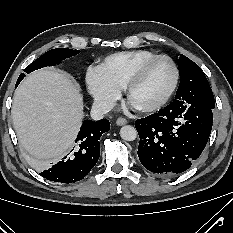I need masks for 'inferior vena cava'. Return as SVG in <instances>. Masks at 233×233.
<instances>
[{
    "mask_svg": "<svg viewBox=\"0 0 233 233\" xmlns=\"http://www.w3.org/2000/svg\"><path fill=\"white\" fill-rule=\"evenodd\" d=\"M113 105L107 101L96 100L93 103L91 109V117L94 120H99L104 117L109 111H111Z\"/></svg>",
    "mask_w": 233,
    "mask_h": 233,
    "instance_id": "inferior-vena-cava-1",
    "label": "inferior vena cava"
}]
</instances>
